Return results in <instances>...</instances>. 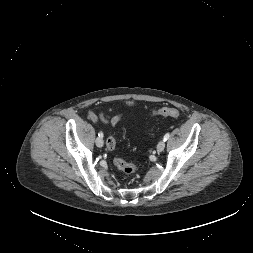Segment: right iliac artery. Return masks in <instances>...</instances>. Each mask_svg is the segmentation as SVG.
I'll use <instances>...</instances> for the list:
<instances>
[{"label": "right iliac artery", "instance_id": "right-iliac-artery-1", "mask_svg": "<svg viewBox=\"0 0 253 253\" xmlns=\"http://www.w3.org/2000/svg\"><path fill=\"white\" fill-rule=\"evenodd\" d=\"M98 136H99V137H103V133H102V132H99V133H98Z\"/></svg>", "mask_w": 253, "mask_h": 253}]
</instances>
